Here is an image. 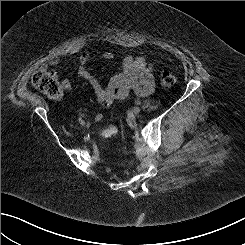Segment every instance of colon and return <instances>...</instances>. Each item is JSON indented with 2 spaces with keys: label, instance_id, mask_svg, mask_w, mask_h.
Segmentation results:
<instances>
[{
  "label": "colon",
  "instance_id": "colon-1",
  "mask_svg": "<svg viewBox=\"0 0 245 245\" xmlns=\"http://www.w3.org/2000/svg\"><path fill=\"white\" fill-rule=\"evenodd\" d=\"M31 83L50 98L57 99L62 95L55 73L46 67L40 68L32 75ZM160 83L164 88H170L176 83V77L172 72L164 71L160 75ZM130 165L134 166V162L131 161Z\"/></svg>",
  "mask_w": 245,
  "mask_h": 245
}]
</instances>
